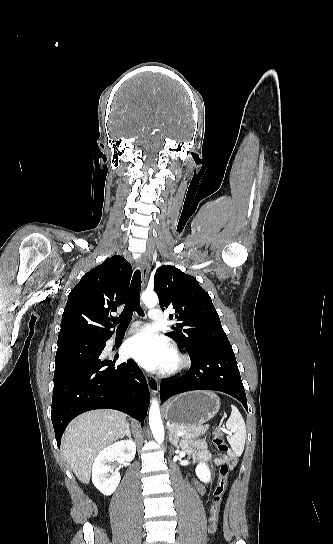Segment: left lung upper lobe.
<instances>
[{"label": "left lung upper lobe", "mask_w": 333, "mask_h": 544, "mask_svg": "<svg viewBox=\"0 0 333 544\" xmlns=\"http://www.w3.org/2000/svg\"><path fill=\"white\" fill-rule=\"evenodd\" d=\"M154 289L163 311L170 307L175 309L170 319L178 321L176 332L166 335L188 354L206 348L232 350L209 294L193 276L174 266L162 265L155 272Z\"/></svg>", "instance_id": "obj_1"}]
</instances>
